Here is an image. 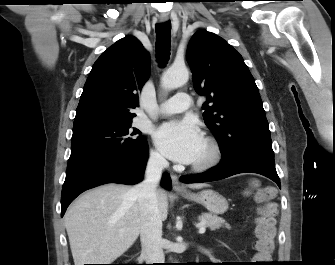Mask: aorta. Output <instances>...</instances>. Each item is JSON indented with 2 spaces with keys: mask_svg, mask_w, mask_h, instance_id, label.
Wrapping results in <instances>:
<instances>
[{
  "mask_svg": "<svg viewBox=\"0 0 335 265\" xmlns=\"http://www.w3.org/2000/svg\"><path fill=\"white\" fill-rule=\"evenodd\" d=\"M189 79V72L185 66H172L161 78V85L166 90H173L184 85Z\"/></svg>",
  "mask_w": 335,
  "mask_h": 265,
  "instance_id": "obj_1",
  "label": "aorta"
}]
</instances>
